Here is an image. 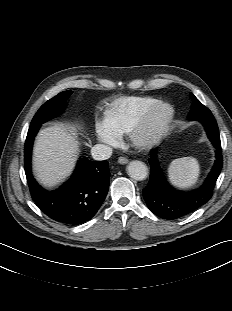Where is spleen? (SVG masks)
Segmentation results:
<instances>
[{
  "instance_id": "3e777b00",
  "label": "spleen",
  "mask_w": 232,
  "mask_h": 311,
  "mask_svg": "<svg viewBox=\"0 0 232 311\" xmlns=\"http://www.w3.org/2000/svg\"><path fill=\"white\" fill-rule=\"evenodd\" d=\"M170 182L179 188H190L198 180L200 166L196 158L183 157L175 159L168 168Z\"/></svg>"
}]
</instances>
